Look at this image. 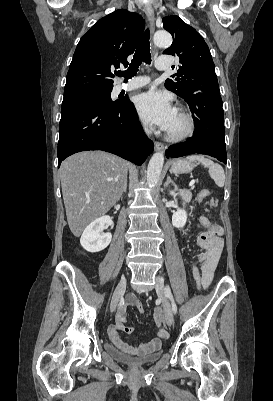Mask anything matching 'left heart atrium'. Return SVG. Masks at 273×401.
Returning a JSON list of instances; mask_svg holds the SVG:
<instances>
[{"label": "left heart atrium", "mask_w": 273, "mask_h": 401, "mask_svg": "<svg viewBox=\"0 0 273 401\" xmlns=\"http://www.w3.org/2000/svg\"><path fill=\"white\" fill-rule=\"evenodd\" d=\"M136 107L142 120L167 130L177 110L168 97L158 92H147L138 96Z\"/></svg>", "instance_id": "obj_1"}]
</instances>
